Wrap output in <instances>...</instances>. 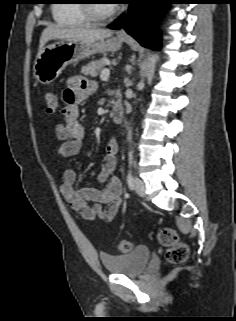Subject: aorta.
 <instances>
[{
  "mask_svg": "<svg viewBox=\"0 0 236 321\" xmlns=\"http://www.w3.org/2000/svg\"><path fill=\"white\" fill-rule=\"evenodd\" d=\"M144 69H145V66L142 65V66H141V73H140V75H141V81L139 82V86H140V87H143V86H144V76H145ZM131 140H132V129L129 128V129H128V141L131 142Z\"/></svg>",
  "mask_w": 236,
  "mask_h": 321,
  "instance_id": "obj_1",
  "label": "aorta"
}]
</instances>
